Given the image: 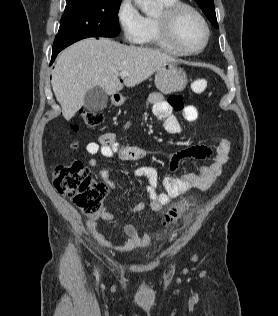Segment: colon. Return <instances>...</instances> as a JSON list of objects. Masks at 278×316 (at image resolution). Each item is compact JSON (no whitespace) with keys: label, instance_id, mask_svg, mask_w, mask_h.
Segmentation results:
<instances>
[{"label":"colon","instance_id":"obj_1","mask_svg":"<svg viewBox=\"0 0 278 316\" xmlns=\"http://www.w3.org/2000/svg\"><path fill=\"white\" fill-rule=\"evenodd\" d=\"M207 88V80L195 79L191 89L195 94H202ZM82 118L87 126L94 127L101 123L103 114L84 111ZM52 183L62 195L70 198L90 222H97L103 214V201L107 195V186L89 174L81 162L57 166L52 174ZM190 203L184 200L174 205L163 218L165 225L178 222L189 209Z\"/></svg>","mask_w":278,"mask_h":316}]
</instances>
